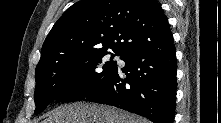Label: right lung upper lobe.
Wrapping results in <instances>:
<instances>
[{"label":"right lung upper lobe","instance_id":"cb5924a9","mask_svg":"<svg viewBox=\"0 0 221 123\" xmlns=\"http://www.w3.org/2000/svg\"><path fill=\"white\" fill-rule=\"evenodd\" d=\"M172 35L156 0H83L69 7L44 41L37 65L95 50L126 54Z\"/></svg>","mask_w":221,"mask_h":123}]
</instances>
